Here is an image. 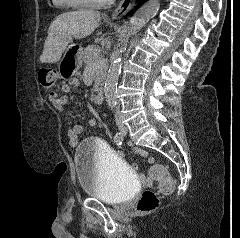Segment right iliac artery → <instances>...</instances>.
<instances>
[{
  "label": "right iliac artery",
  "instance_id": "82829eb1",
  "mask_svg": "<svg viewBox=\"0 0 240 238\" xmlns=\"http://www.w3.org/2000/svg\"><path fill=\"white\" fill-rule=\"evenodd\" d=\"M123 141V134L121 132H117L116 135L114 136V142L117 145H121Z\"/></svg>",
  "mask_w": 240,
  "mask_h": 238
}]
</instances>
